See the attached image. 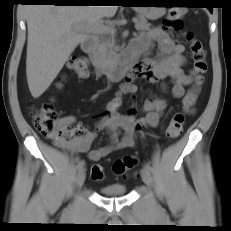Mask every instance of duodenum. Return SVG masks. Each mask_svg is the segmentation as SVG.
<instances>
[{"mask_svg":"<svg viewBox=\"0 0 231 231\" xmlns=\"http://www.w3.org/2000/svg\"><path fill=\"white\" fill-rule=\"evenodd\" d=\"M97 44L98 42L95 37H88L83 40L81 44V48L84 52L91 53L93 55V65L96 73H107L112 78L119 80L126 72H129L137 64L139 51L135 49L125 52L121 60L109 67H106L101 58L94 53Z\"/></svg>","mask_w":231,"mask_h":231,"instance_id":"1","label":"duodenum"}]
</instances>
